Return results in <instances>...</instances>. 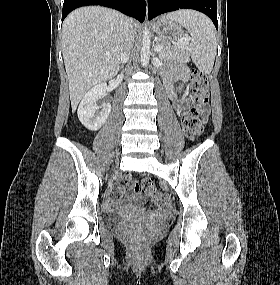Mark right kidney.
I'll return each mask as SVG.
<instances>
[{"label": "right kidney", "instance_id": "1", "mask_svg": "<svg viewBox=\"0 0 280 285\" xmlns=\"http://www.w3.org/2000/svg\"><path fill=\"white\" fill-rule=\"evenodd\" d=\"M107 92L106 83H99L91 88L83 97L78 107V118L80 122L89 130L97 131L106 122L110 112L111 104L103 103L100 107L96 102Z\"/></svg>", "mask_w": 280, "mask_h": 285}]
</instances>
